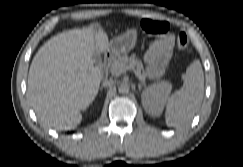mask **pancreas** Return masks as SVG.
Listing matches in <instances>:
<instances>
[{
  "instance_id": "obj_1",
  "label": "pancreas",
  "mask_w": 243,
  "mask_h": 167,
  "mask_svg": "<svg viewBox=\"0 0 243 167\" xmlns=\"http://www.w3.org/2000/svg\"><path fill=\"white\" fill-rule=\"evenodd\" d=\"M120 66H130L133 67L135 69V72L138 76H141L143 78V80L145 81L146 79V72L144 70V66L143 63L141 62V60H139L135 54H132L130 57H128L127 55H122L119 56L118 58L114 59L110 65V71L113 75H119L120 73H117V69Z\"/></svg>"
}]
</instances>
